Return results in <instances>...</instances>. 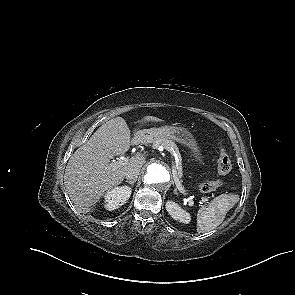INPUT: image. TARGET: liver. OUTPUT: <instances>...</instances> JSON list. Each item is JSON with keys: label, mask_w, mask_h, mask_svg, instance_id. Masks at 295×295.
I'll return each mask as SVG.
<instances>
[{"label": "liver", "mask_w": 295, "mask_h": 295, "mask_svg": "<svg viewBox=\"0 0 295 295\" xmlns=\"http://www.w3.org/2000/svg\"><path fill=\"white\" fill-rule=\"evenodd\" d=\"M154 116H145L141 122H161ZM142 130H135L130 138V130L122 117L104 123L90 139L70 157L64 175V183L69 197L80 213L86 214L101 197L121 184L125 172L130 167L141 169L145 157L138 154L127 164L115 166L110 159L126 153L130 144L141 142Z\"/></svg>", "instance_id": "1"}]
</instances>
